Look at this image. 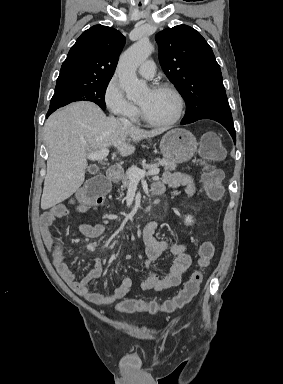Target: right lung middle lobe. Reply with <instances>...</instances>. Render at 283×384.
<instances>
[{"label":"right lung middle lobe","instance_id":"obj_1","mask_svg":"<svg viewBox=\"0 0 283 384\" xmlns=\"http://www.w3.org/2000/svg\"><path fill=\"white\" fill-rule=\"evenodd\" d=\"M109 81L72 83L55 87V93L51 99L50 109L56 110L74 101H92L106 109L104 96Z\"/></svg>","mask_w":283,"mask_h":384}]
</instances>
